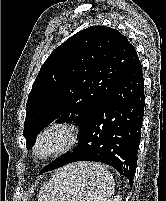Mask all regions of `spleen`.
<instances>
[{
	"mask_svg": "<svg viewBox=\"0 0 166 201\" xmlns=\"http://www.w3.org/2000/svg\"><path fill=\"white\" fill-rule=\"evenodd\" d=\"M114 179L103 165L76 162L56 171L39 193L40 201H107Z\"/></svg>",
	"mask_w": 166,
	"mask_h": 201,
	"instance_id": "spleen-1",
	"label": "spleen"
}]
</instances>
